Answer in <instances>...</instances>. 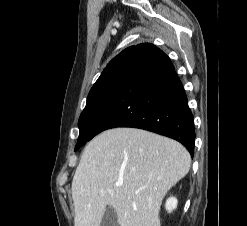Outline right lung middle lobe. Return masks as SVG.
Instances as JSON below:
<instances>
[{
    "instance_id": "right-lung-middle-lobe-1",
    "label": "right lung middle lobe",
    "mask_w": 247,
    "mask_h": 226,
    "mask_svg": "<svg viewBox=\"0 0 247 226\" xmlns=\"http://www.w3.org/2000/svg\"><path fill=\"white\" fill-rule=\"evenodd\" d=\"M126 61L127 58H123L115 62L91 88L79 118L80 134L75 151L91 139L93 128L117 86Z\"/></svg>"
}]
</instances>
